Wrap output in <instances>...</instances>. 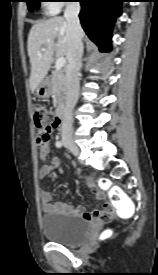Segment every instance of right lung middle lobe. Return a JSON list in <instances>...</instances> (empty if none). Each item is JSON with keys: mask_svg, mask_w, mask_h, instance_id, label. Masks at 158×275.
Segmentation results:
<instances>
[{"mask_svg": "<svg viewBox=\"0 0 158 275\" xmlns=\"http://www.w3.org/2000/svg\"><path fill=\"white\" fill-rule=\"evenodd\" d=\"M28 3V9L30 11L34 10V9H38L40 6V1L41 0H26Z\"/></svg>", "mask_w": 158, "mask_h": 275, "instance_id": "right-lung-middle-lobe-1", "label": "right lung middle lobe"}]
</instances>
